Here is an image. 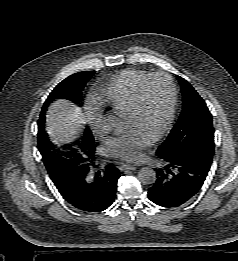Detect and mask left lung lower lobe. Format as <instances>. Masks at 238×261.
<instances>
[{
    "instance_id": "0a47b994",
    "label": "left lung lower lobe",
    "mask_w": 238,
    "mask_h": 261,
    "mask_svg": "<svg viewBox=\"0 0 238 261\" xmlns=\"http://www.w3.org/2000/svg\"><path fill=\"white\" fill-rule=\"evenodd\" d=\"M160 159L162 166L155 169L156 180L149 188L148 198L167 208L178 207L189 201L202 187L212 163L200 158V152L184 158Z\"/></svg>"
}]
</instances>
